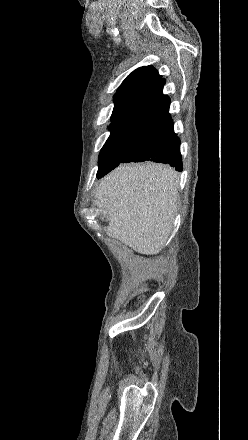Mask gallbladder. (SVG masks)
<instances>
[{
  "label": "gallbladder",
  "mask_w": 248,
  "mask_h": 440,
  "mask_svg": "<svg viewBox=\"0 0 248 440\" xmlns=\"http://www.w3.org/2000/svg\"><path fill=\"white\" fill-rule=\"evenodd\" d=\"M102 219H103L104 221H107V220H108V218H107V216H106L105 214L102 216Z\"/></svg>",
  "instance_id": "gallbladder-1"
}]
</instances>
